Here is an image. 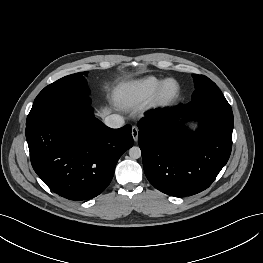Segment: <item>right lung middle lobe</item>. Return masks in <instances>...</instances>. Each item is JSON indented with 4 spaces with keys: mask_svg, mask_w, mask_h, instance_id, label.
<instances>
[{
    "mask_svg": "<svg viewBox=\"0 0 263 263\" xmlns=\"http://www.w3.org/2000/svg\"><path fill=\"white\" fill-rule=\"evenodd\" d=\"M87 73L85 71L68 75L46 86L34 100L26 125L61 107L70 110L82 107L85 97L90 93L84 78Z\"/></svg>",
    "mask_w": 263,
    "mask_h": 263,
    "instance_id": "dd1d6c3e",
    "label": "right lung middle lobe"
}]
</instances>
